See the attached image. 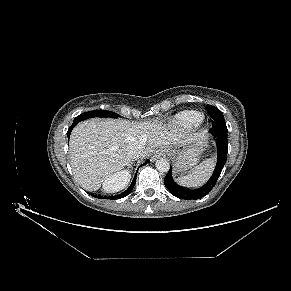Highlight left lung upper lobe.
<instances>
[{"label": "left lung upper lobe", "instance_id": "obj_1", "mask_svg": "<svg viewBox=\"0 0 291 291\" xmlns=\"http://www.w3.org/2000/svg\"><path fill=\"white\" fill-rule=\"evenodd\" d=\"M207 109L209 111V113L211 114V116L213 117L214 122L213 123H225L224 120V116L222 114V112L215 106L212 105H207ZM191 195L189 192L187 191H183L181 193V199H191Z\"/></svg>", "mask_w": 291, "mask_h": 291}]
</instances>
